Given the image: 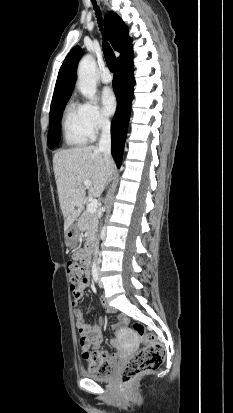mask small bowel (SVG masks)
Segmentation results:
<instances>
[{
    "label": "small bowel",
    "mask_w": 233,
    "mask_h": 413,
    "mask_svg": "<svg viewBox=\"0 0 233 413\" xmlns=\"http://www.w3.org/2000/svg\"><path fill=\"white\" fill-rule=\"evenodd\" d=\"M85 259V252L82 247H77L75 249L73 260L75 262H80ZM90 280L89 277H85L84 280L73 290V312L76 319V327L80 335V347L83 353L88 352L90 355H97L99 353L100 346L103 342V331H102V320L99 321L98 325H90L86 322L83 309L79 306V302L84 294V290L89 287ZM102 304L107 312H113V308L108 306L104 300ZM122 324L127 322L126 318H121ZM116 355H109V362L115 359ZM90 361V359H88Z\"/></svg>",
    "instance_id": "1"
}]
</instances>
